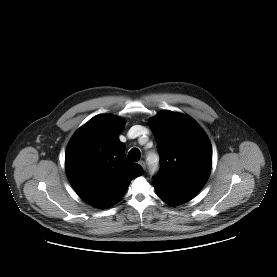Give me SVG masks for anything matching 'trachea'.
I'll use <instances>...</instances> for the list:
<instances>
[{"instance_id":"obj_1","label":"trachea","mask_w":277,"mask_h":277,"mask_svg":"<svg viewBox=\"0 0 277 277\" xmlns=\"http://www.w3.org/2000/svg\"><path fill=\"white\" fill-rule=\"evenodd\" d=\"M140 157H141V154H140L139 149H137V148L131 149L128 153V159L133 162L140 160Z\"/></svg>"}]
</instances>
